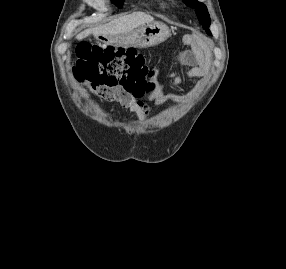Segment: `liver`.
<instances>
[{
	"instance_id": "liver-1",
	"label": "liver",
	"mask_w": 286,
	"mask_h": 269,
	"mask_svg": "<svg viewBox=\"0 0 286 269\" xmlns=\"http://www.w3.org/2000/svg\"><path fill=\"white\" fill-rule=\"evenodd\" d=\"M153 22L154 18L152 16L143 12H134L129 15L119 16L108 24L86 29L83 32L79 33L76 38L78 40H82L91 34L95 37L118 36L121 34L129 33L135 28Z\"/></svg>"
}]
</instances>
